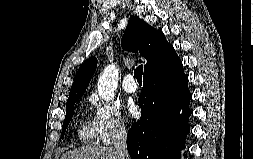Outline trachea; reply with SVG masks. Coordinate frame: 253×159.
<instances>
[{
	"label": "trachea",
	"instance_id": "trachea-1",
	"mask_svg": "<svg viewBox=\"0 0 253 159\" xmlns=\"http://www.w3.org/2000/svg\"><path fill=\"white\" fill-rule=\"evenodd\" d=\"M142 75H143V65H139L134 70V76L137 79L138 82H142Z\"/></svg>",
	"mask_w": 253,
	"mask_h": 159
}]
</instances>
